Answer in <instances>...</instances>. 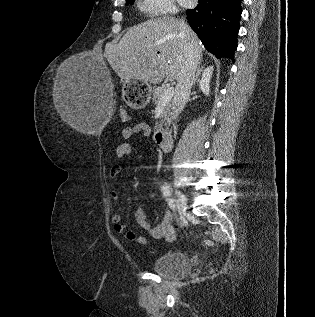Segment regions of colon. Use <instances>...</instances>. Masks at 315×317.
Instances as JSON below:
<instances>
[{
    "label": "colon",
    "instance_id": "colon-1",
    "mask_svg": "<svg viewBox=\"0 0 315 317\" xmlns=\"http://www.w3.org/2000/svg\"><path fill=\"white\" fill-rule=\"evenodd\" d=\"M121 116L123 119H127V114L124 110L121 111Z\"/></svg>",
    "mask_w": 315,
    "mask_h": 317
}]
</instances>
